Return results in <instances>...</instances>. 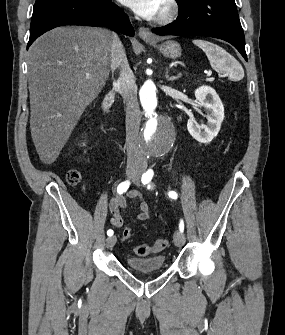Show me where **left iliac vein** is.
I'll list each match as a JSON object with an SVG mask.
<instances>
[{
  "label": "left iliac vein",
  "instance_id": "4c4485c4",
  "mask_svg": "<svg viewBox=\"0 0 285 335\" xmlns=\"http://www.w3.org/2000/svg\"><path fill=\"white\" fill-rule=\"evenodd\" d=\"M140 172L135 173V175L133 176V182L135 185H139L140 184ZM174 243L176 246L181 247L185 244L186 240H185V236L181 231H177L175 232L174 236Z\"/></svg>",
  "mask_w": 285,
  "mask_h": 335
}]
</instances>
